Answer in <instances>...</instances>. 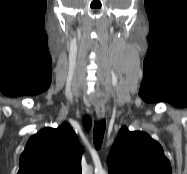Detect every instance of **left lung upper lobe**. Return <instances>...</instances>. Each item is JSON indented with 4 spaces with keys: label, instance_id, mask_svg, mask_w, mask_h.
I'll return each mask as SVG.
<instances>
[{
    "label": "left lung upper lobe",
    "instance_id": "1",
    "mask_svg": "<svg viewBox=\"0 0 187 174\" xmlns=\"http://www.w3.org/2000/svg\"><path fill=\"white\" fill-rule=\"evenodd\" d=\"M109 174H171L169 160L148 134L121 128L108 157Z\"/></svg>",
    "mask_w": 187,
    "mask_h": 174
}]
</instances>
